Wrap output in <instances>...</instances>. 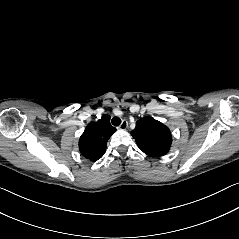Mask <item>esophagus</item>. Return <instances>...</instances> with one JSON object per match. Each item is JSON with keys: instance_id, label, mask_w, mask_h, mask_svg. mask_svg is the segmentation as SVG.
Segmentation results:
<instances>
[{"instance_id": "1", "label": "esophagus", "mask_w": 239, "mask_h": 239, "mask_svg": "<svg viewBox=\"0 0 239 239\" xmlns=\"http://www.w3.org/2000/svg\"><path fill=\"white\" fill-rule=\"evenodd\" d=\"M128 127V122L126 120H123L121 124L119 125L118 129L125 130Z\"/></svg>"}]
</instances>
